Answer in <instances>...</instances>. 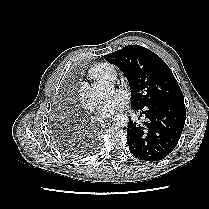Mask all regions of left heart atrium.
<instances>
[{"mask_svg":"<svg viewBox=\"0 0 209 209\" xmlns=\"http://www.w3.org/2000/svg\"><path fill=\"white\" fill-rule=\"evenodd\" d=\"M128 102V96L124 92H116L108 100L98 106L97 115L106 119L121 110Z\"/></svg>","mask_w":209,"mask_h":209,"instance_id":"left-heart-atrium-1","label":"left heart atrium"}]
</instances>
